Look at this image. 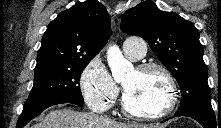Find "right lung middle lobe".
I'll use <instances>...</instances> for the list:
<instances>
[{
    "label": "right lung middle lobe",
    "mask_w": 221,
    "mask_h": 128,
    "mask_svg": "<svg viewBox=\"0 0 221 128\" xmlns=\"http://www.w3.org/2000/svg\"><path fill=\"white\" fill-rule=\"evenodd\" d=\"M91 60H77L67 65L35 70L34 84L24 108L50 99L63 98L84 103L79 87L82 71Z\"/></svg>",
    "instance_id": "right-lung-middle-lobe-1"
}]
</instances>
